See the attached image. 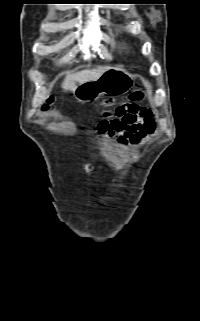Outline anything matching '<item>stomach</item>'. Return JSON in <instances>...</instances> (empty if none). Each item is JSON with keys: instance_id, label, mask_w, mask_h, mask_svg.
Wrapping results in <instances>:
<instances>
[{"instance_id": "stomach-1", "label": "stomach", "mask_w": 200, "mask_h": 321, "mask_svg": "<svg viewBox=\"0 0 200 321\" xmlns=\"http://www.w3.org/2000/svg\"><path fill=\"white\" fill-rule=\"evenodd\" d=\"M134 77L119 67L106 70L97 80L79 84L73 91L80 102H89L100 94L117 96L127 93L134 84Z\"/></svg>"}]
</instances>
